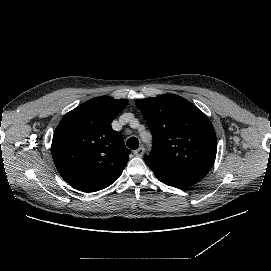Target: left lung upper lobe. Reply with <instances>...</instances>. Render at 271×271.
<instances>
[{"label":"left lung upper lobe","mask_w":271,"mask_h":271,"mask_svg":"<svg viewBox=\"0 0 271 271\" xmlns=\"http://www.w3.org/2000/svg\"><path fill=\"white\" fill-rule=\"evenodd\" d=\"M148 128L153 135L150 155L165 163L209 171L217 151L215 130L208 117L178 95L139 99Z\"/></svg>","instance_id":"left-lung-upper-lobe-1"}]
</instances>
